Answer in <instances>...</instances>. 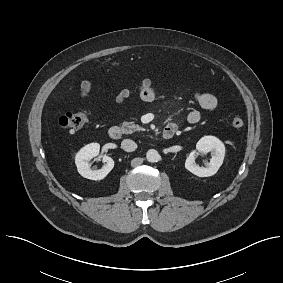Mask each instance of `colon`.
Returning <instances> with one entry per match:
<instances>
[{
	"mask_svg": "<svg viewBox=\"0 0 283 283\" xmlns=\"http://www.w3.org/2000/svg\"><path fill=\"white\" fill-rule=\"evenodd\" d=\"M115 65H119V62H116ZM89 115L90 112L88 110L68 112L59 118L58 124L68 132H75L85 126L89 120ZM232 125L234 128L239 129L243 127L244 121L240 117H235L232 120Z\"/></svg>",
	"mask_w": 283,
	"mask_h": 283,
	"instance_id": "1",
	"label": "colon"
}]
</instances>
